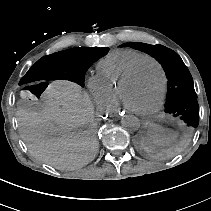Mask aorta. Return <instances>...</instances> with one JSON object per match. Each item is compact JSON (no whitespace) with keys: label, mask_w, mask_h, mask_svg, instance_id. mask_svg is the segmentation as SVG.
Here are the masks:
<instances>
[{"label":"aorta","mask_w":211,"mask_h":211,"mask_svg":"<svg viewBox=\"0 0 211 211\" xmlns=\"http://www.w3.org/2000/svg\"><path fill=\"white\" fill-rule=\"evenodd\" d=\"M121 124L129 131H137L140 128V120L132 114L125 115Z\"/></svg>","instance_id":"762f6f07"}]
</instances>
